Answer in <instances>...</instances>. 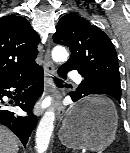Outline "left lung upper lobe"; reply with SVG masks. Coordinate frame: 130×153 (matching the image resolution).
Returning <instances> with one entry per match:
<instances>
[{"label":"left lung upper lobe","instance_id":"5c2ea615","mask_svg":"<svg viewBox=\"0 0 130 153\" xmlns=\"http://www.w3.org/2000/svg\"><path fill=\"white\" fill-rule=\"evenodd\" d=\"M53 41L69 47L70 59L61 67L76 69L90 76L93 84L120 101V74L115 48L97 26L77 14L64 15L58 22ZM80 86L73 95L81 94Z\"/></svg>","mask_w":130,"mask_h":153}]
</instances>
